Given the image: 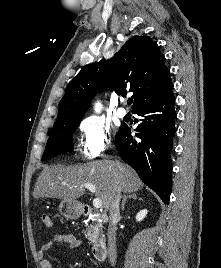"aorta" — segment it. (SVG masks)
<instances>
[{
  "label": "aorta",
  "mask_w": 221,
  "mask_h": 268,
  "mask_svg": "<svg viewBox=\"0 0 221 268\" xmlns=\"http://www.w3.org/2000/svg\"><path fill=\"white\" fill-rule=\"evenodd\" d=\"M101 109H102L101 103L97 102L95 104V111H96V113H99L101 111Z\"/></svg>",
  "instance_id": "aorta-1"
}]
</instances>
